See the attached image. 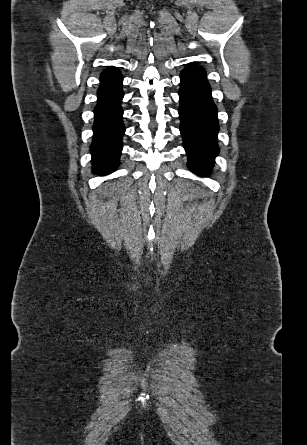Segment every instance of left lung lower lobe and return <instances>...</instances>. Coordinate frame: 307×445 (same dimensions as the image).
Masks as SVG:
<instances>
[{"label":"left lung lower lobe","instance_id":"1","mask_svg":"<svg viewBox=\"0 0 307 445\" xmlns=\"http://www.w3.org/2000/svg\"><path fill=\"white\" fill-rule=\"evenodd\" d=\"M180 78V132L189 157L188 166L193 172L205 176L211 171L219 151L217 109L202 67L188 66Z\"/></svg>","mask_w":307,"mask_h":445}]
</instances>
